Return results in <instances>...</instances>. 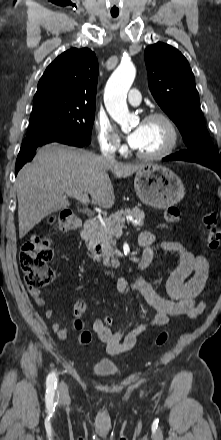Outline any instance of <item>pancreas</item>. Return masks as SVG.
<instances>
[{
	"instance_id": "pancreas-1",
	"label": "pancreas",
	"mask_w": 221,
	"mask_h": 440,
	"mask_svg": "<svg viewBox=\"0 0 221 440\" xmlns=\"http://www.w3.org/2000/svg\"><path fill=\"white\" fill-rule=\"evenodd\" d=\"M127 216H131L133 218L132 224L134 227H140L144 223L145 214L144 211L139 208V206L131 209H121L120 211L110 215V217L104 218V224H102L99 220L96 222L95 231L90 237L92 245L103 244L106 251H108V255L113 257L114 253L111 245L114 243L116 226L123 224ZM135 220L138 222H135Z\"/></svg>"
}]
</instances>
